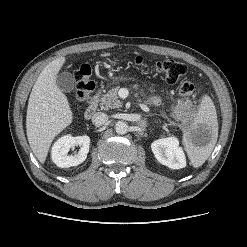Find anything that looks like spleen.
Here are the masks:
<instances>
[{
    "mask_svg": "<svg viewBox=\"0 0 247 247\" xmlns=\"http://www.w3.org/2000/svg\"><path fill=\"white\" fill-rule=\"evenodd\" d=\"M202 127L210 131V137L202 145H196L191 139V133L185 132L183 144L188 158L193 167H200L212 153L218 137V121L216 108L212 99L205 95L202 97L197 115L194 119V127Z\"/></svg>",
    "mask_w": 247,
    "mask_h": 247,
    "instance_id": "3e777b00",
    "label": "spleen"
}]
</instances>
